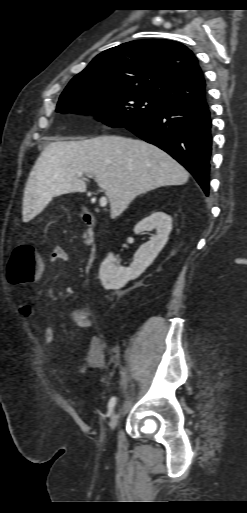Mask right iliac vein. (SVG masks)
<instances>
[{"instance_id":"obj_1","label":"right iliac vein","mask_w":247,"mask_h":513,"mask_svg":"<svg viewBox=\"0 0 247 513\" xmlns=\"http://www.w3.org/2000/svg\"><path fill=\"white\" fill-rule=\"evenodd\" d=\"M119 416H120V413H119V409L116 408L113 412H112V416H111V423H110V426H111V430H115L118 422H119Z\"/></svg>"}]
</instances>
